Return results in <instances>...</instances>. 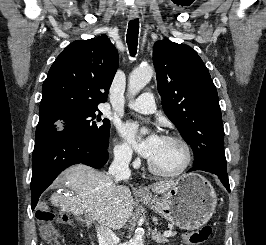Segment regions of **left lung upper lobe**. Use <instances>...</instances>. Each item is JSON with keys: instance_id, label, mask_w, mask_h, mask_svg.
<instances>
[{"instance_id": "5c2ea615", "label": "left lung upper lobe", "mask_w": 266, "mask_h": 245, "mask_svg": "<svg viewBox=\"0 0 266 245\" xmlns=\"http://www.w3.org/2000/svg\"><path fill=\"white\" fill-rule=\"evenodd\" d=\"M157 88L167 117L194 152V167L227 172L217 90L208 69L189 46L170 40L153 48Z\"/></svg>"}]
</instances>
